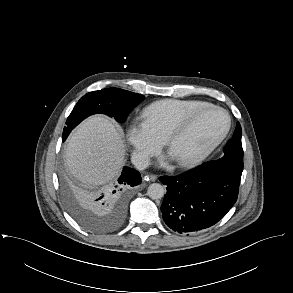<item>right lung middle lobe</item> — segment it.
I'll return each mask as SVG.
<instances>
[{
  "instance_id": "obj_1",
  "label": "right lung middle lobe",
  "mask_w": 293,
  "mask_h": 293,
  "mask_svg": "<svg viewBox=\"0 0 293 293\" xmlns=\"http://www.w3.org/2000/svg\"><path fill=\"white\" fill-rule=\"evenodd\" d=\"M143 100L144 96L141 94L118 88L89 92L77 102L69 115L63 130L62 140L64 141L71 130L82 120L93 114H106L123 123L132 109ZM62 192L68 210L86 229L104 232L115 227L112 215H101L94 212L86 204L82 191L79 189L65 183Z\"/></svg>"
}]
</instances>
